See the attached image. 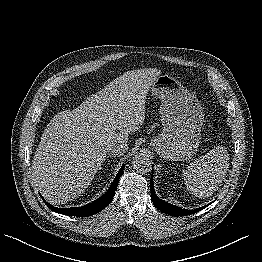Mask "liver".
Segmentation results:
<instances>
[{"label":"liver","mask_w":262,"mask_h":262,"mask_svg":"<svg viewBox=\"0 0 262 262\" xmlns=\"http://www.w3.org/2000/svg\"><path fill=\"white\" fill-rule=\"evenodd\" d=\"M160 74L155 68L127 71L79 107L56 114L34 154L31 184L52 204L80 196L109 145L127 143L144 122L146 96Z\"/></svg>","instance_id":"6515ba94"}]
</instances>
